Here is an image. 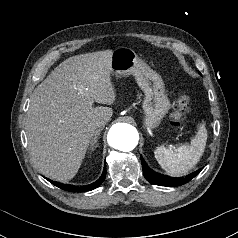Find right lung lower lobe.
<instances>
[{
  "instance_id": "1",
  "label": "right lung lower lobe",
  "mask_w": 238,
  "mask_h": 238,
  "mask_svg": "<svg viewBox=\"0 0 238 238\" xmlns=\"http://www.w3.org/2000/svg\"><path fill=\"white\" fill-rule=\"evenodd\" d=\"M106 176V165L104 166V170L103 173L101 175V177L95 181L94 183L90 184V185H86V186H74V185H68V184H62V183H58L55 181H52L50 179H47L50 183H52L53 185L59 187L60 189L66 190V191H70V192H86V191H91L95 188H97L98 186L101 185V183L104 181Z\"/></svg>"
}]
</instances>
